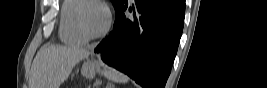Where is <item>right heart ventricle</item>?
Listing matches in <instances>:
<instances>
[{"label": "right heart ventricle", "instance_id": "obj_1", "mask_svg": "<svg viewBox=\"0 0 267 88\" xmlns=\"http://www.w3.org/2000/svg\"><path fill=\"white\" fill-rule=\"evenodd\" d=\"M86 0L64 1L61 11L60 38L67 45L81 46L87 39L80 33L77 25V8Z\"/></svg>", "mask_w": 267, "mask_h": 88}]
</instances>
